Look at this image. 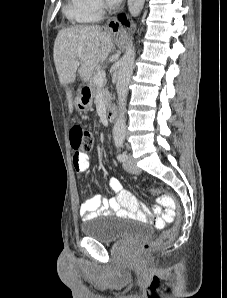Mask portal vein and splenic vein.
<instances>
[{"instance_id": "18ae733b", "label": "portal vein and splenic vein", "mask_w": 227, "mask_h": 298, "mask_svg": "<svg viewBox=\"0 0 227 298\" xmlns=\"http://www.w3.org/2000/svg\"><path fill=\"white\" fill-rule=\"evenodd\" d=\"M105 78H106V73H105L104 70H101L95 76L94 81H95L96 84L102 85L103 82H104V80H105Z\"/></svg>"}]
</instances>
